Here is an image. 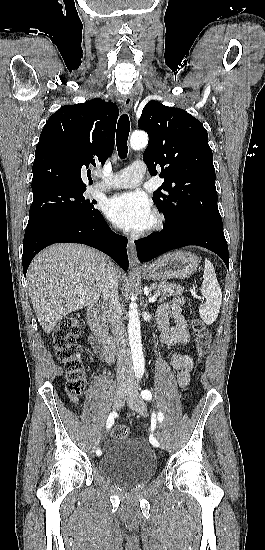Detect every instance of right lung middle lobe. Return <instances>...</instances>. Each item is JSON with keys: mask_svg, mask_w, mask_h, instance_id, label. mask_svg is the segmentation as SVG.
<instances>
[{"mask_svg": "<svg viewBox=\"0 0 265 550\" xmlns=\"http://www.w3.org/2000/svg\"><path fill=\"white\" fill-rule=\"evenodd\" d=\"M85 190L56 185L32 189L28 225L53 218L90 217L98 213L93 206L96 201L85 199Z\"/></svg>", "mask_w": 265, "mask_h": 550, "instance_id": "1", "label": "right lung middle lobe"}]
</instances>
